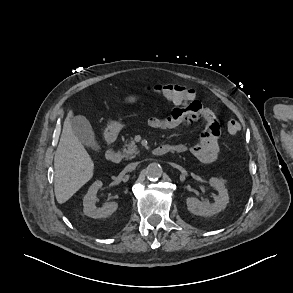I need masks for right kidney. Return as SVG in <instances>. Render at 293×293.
Wrapping results in <instances>:
<instances>
[{
  "mask_svg": "<svg viewBox=\"0 0 293 293\" xmlns=\"http://www.w3.org/2000/svg\"><path fill=\"white\" fill-rule=\"evenodd\" d=\"M103 183L101 181L94 182L88 189L87 194L83 199V212L86 216L91 218H106L112 215L118 208L117 202H107L102 207H96V194Z\"/></svg>",
  "mask_w": 293,
  "mask_h": 293,
  "instance_id": "right-kidney-1",
  "label": "right kidney"
}]
</instances>
